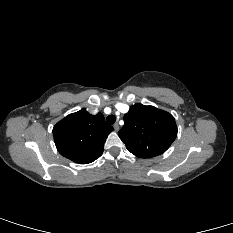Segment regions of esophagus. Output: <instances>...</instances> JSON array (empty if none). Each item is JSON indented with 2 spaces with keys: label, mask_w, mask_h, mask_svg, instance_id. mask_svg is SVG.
Returning a JSON list of instances; mask_svg holds the SVG:
<instances>
[{
  "label": "esophagus",
  "mask_w": 233,
  "mask_h": 233,
  "mask_svg": "<svg viewBox=\"0 0 233 233\" xmlns=\"http://www.w3.org/2000/svg\"><path fill=\"white\" fill-rule=\"evenodd\" d=\"M113 128H114V130L115 131H119V124L118 123H115L114 125H113Z\"/></svg>",
  "instance_id": "1"
}]
</instances>
